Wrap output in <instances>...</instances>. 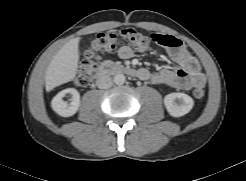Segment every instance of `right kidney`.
I'll list each match as a JSON object with an SVG mask.
<instances>
[{
  "label": "right kidney",
  "instance_id": "1",
  "mask_svg": "<svg viewBox=\"0 0 246 181\" xmlns=\"http://www.w3.org/2000/svg\"><path fill=\"white\" fill-rule=\"evenodd\" d=\"M68 93L72 95L70 103L62 99ZM79 106L80 94L73 88L65 89L59 92L51 102L52 109L62 117L73 116L78 111Z\"/></svg>",
  "mask_w": 246,
  "mask_h": 181
}]
</instances>
